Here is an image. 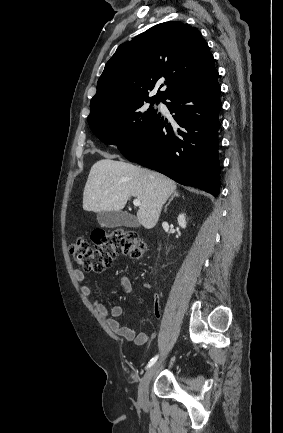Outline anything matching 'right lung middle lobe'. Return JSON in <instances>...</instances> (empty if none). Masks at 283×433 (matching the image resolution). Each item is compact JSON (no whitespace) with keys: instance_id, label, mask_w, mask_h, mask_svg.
Returning <instances> with one entry per match:
<instances>
[{"instance_id":"obj_1","label":"right lung middle lobe","mask_w":283,"mask_h":433,"mask_svg":"<svg viewBox=\"0 0 283 433\" xmlns=\"http://www.w3.org/2000/svg\"><path fill=\"white\" fill-rule=\"evenodd\" d=\"M145 102L153 105L160 101L138 100L117 105L88 116L92 132L106 144L116 145L122 152L132 146L156 116L157 111Z\"/></svg>"}]
</instances>
